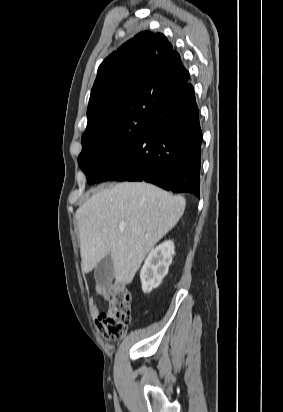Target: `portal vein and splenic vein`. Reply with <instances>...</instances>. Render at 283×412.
<instances>
[{
	"instance_id": "portal-vein-and-splenic-vein-1",
	"label": "portal vein and splenic vein",
	"mask_w": 283,
	"mask_h": 412,
	"mask_svg": "<svg viewBox=\"0 0 283 412\" xmlns=\"http://www.w3.org/2000/svg\"><path fill=\"white\" fill-rule=\"evenodd\" d=\"M120 229H123V225H120Z\"/></svg>"
}]
</instances>
